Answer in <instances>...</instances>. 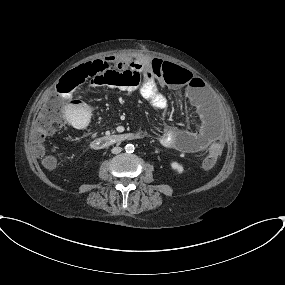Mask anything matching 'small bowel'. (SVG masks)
<instances>
[{
    "label": "small bowel",
    "instance_id": "small-bowel-1",
    "mask_svg": "<svg viewBox=\"0 0 285 285\" xmlns=\"http://www.w3.org/2000/svg\"><path fill=\"white\" fill-rule=\"evenodd\" d=\"M120 63L121 68L132 67L135 70L143 71L144 83L141 88V95L149 103L161 110L166 111L170 106V100L162 95L156 87V80L162 76L165 62L161 59H115ZM113 61V60H111ZM165 82L172 90H184L187 98L194 104L195 112L200 120L197 130L190 131L166 125L159 139L163 146L183 152H198L204 149L217 147L222 150L223 143L219 131L208 121L207 114L201 97V86L199 78L187 71L185 76L170 75ZM70 81L64 84L68 85ZM96 86H102V82L93 80ZM67 120L73 128H80L83 120H90V108L86 102L80 99L70 100L65 108Z\"/></svg>",
    "mask_w": 285,
    "mask_h": 285
}]
</instances>
